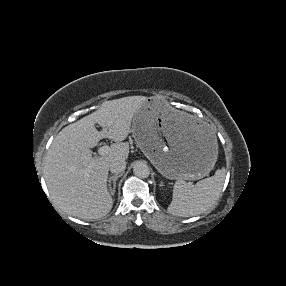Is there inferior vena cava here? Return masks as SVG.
<instances>
[{"label":"inferior vena cava","mask_w":286,"mask_h":286,"mask_svg":"<svg viewBox=\"0 0 286 286\" xmlns=\"http://www.w3.org/2000/svg\"><path fill=\"white\" fill-rule=\"evenodd\" d=\"M126 168V161L121 158L112 160L109 164V169L112 173L118 174L124 172Z\"/></svg>","instance_id":"obj_1"}]
</instances>
